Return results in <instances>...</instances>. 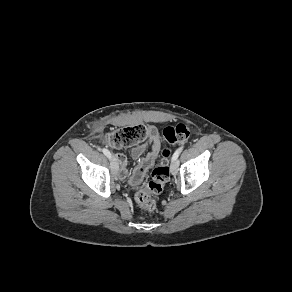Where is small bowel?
<instances>
[{"instance_id": "obj_1", "label": "small bowel", "mask_w": 292, "mask_h": 292, "mask_svg": "<svg viewBox=\"0 0 292 292\" xmlns=\"http://www.w3.org/2000/svg\"><path fill=\"white\" fill-rule=\"evenodd\" d=\"M161 148V141L157 130L154 127L148 129L146 140L131 150V157L137 160L133 172L128 171V160L122 153L116 154V160L120 167V177L129 180L132 184H139L145 177L148 170L155 164Z\"/></svg>"}]
</instances>
